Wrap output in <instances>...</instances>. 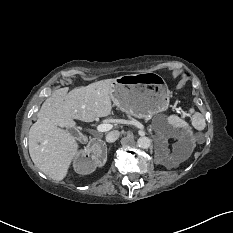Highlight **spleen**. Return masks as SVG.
Masks as SVG:
<instances>
[{"instance_id":"obj_1","label":"spleen","mask_w":233,"mask_h":233,"mask_svg":"<svg viewBox=\"0 0 233 233\" xmlns=\"http://www.w3.org/2000/svg\"><path fill=\"white\" fill-rule=\"evenodd\" d=\"M190 113H193L191 118L192 126L197 130H203L206 126L205 119L201 113L194 112V109L189 110ZM167 122L173 128H182L185 130H189V125L177 115H170L167 117Z\"/></svg>"}]
</instances>
